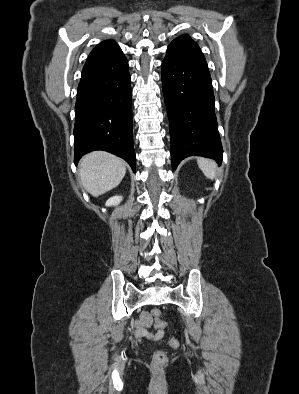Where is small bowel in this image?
Returning a JSON list of instances; mask_svg holds the SVG:
<instances>
[{
	"mask_svg": "<svg viewBox=\"0 0 299 394\" xmlns=\"http://www.w3.org/2000/svg\"><path fill=\"white\" fill-rule=\"evenodd\" d=\"M152 324V316L147 311H144L137 322L136 337L139 340H146L149 342H157L161 340L164 336V330L158 327L157 323H155L156 331H152L150 329Z\"/></svg>",
	"mask_w": 299,
	"mask_h": 394,
	"instance_id": "obj_1",
	"label": "small bowel"
}]
</instances>
